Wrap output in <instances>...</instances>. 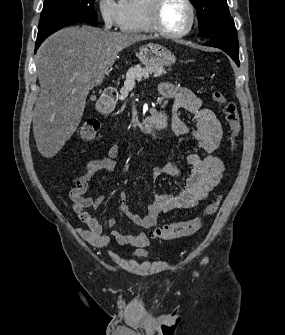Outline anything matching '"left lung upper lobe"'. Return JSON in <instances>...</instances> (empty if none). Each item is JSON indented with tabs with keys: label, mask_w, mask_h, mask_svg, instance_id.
Wrapping results in <instances>:
<instances>
[{
	"label": "left lung upper lobe",
	"mask_w": 285,
	"mask_h": 335,
	"mask_svg": "<svg viewBox=\"0 0 285 335\" xmlns=\"http://www.w3.org/2000/svg\"><path fill=\"white\" fill-rule=\"evenodd\" d=\"M197 9L199 32L208 34L235 32L226 0H190Z\"/></svg>",
	"instance_id": "1"
}]
</instances>
